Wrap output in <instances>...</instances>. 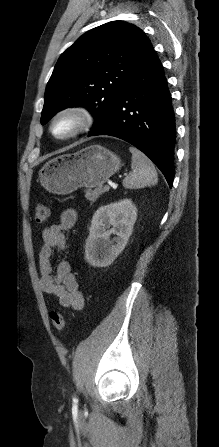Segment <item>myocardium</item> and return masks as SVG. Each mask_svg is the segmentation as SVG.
Instances as JSON below:
<instances>
[{
    "label": "myocardium",
    "mask_w": 219,
    "mask_h": 447,
    "mask_svg": "<svg viewBox=\"0 0 219 447\" xmlns=\"http://www.w3.org/2000/svg\"><path fill=\"white\" fill-rule=\"evenodd\" d=\"M64 118H69L74 121V126L65 134L58 135L54 131L55 124ZM94 113L84 106H67L56 112L49 122V132L58 140H68L75 138L89 129L95 123Z\"/></svg>",
    "instance_id": "obj_1"
}]
</instances>
